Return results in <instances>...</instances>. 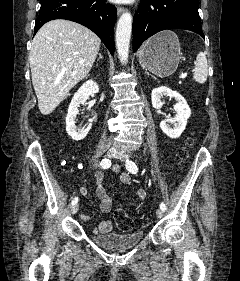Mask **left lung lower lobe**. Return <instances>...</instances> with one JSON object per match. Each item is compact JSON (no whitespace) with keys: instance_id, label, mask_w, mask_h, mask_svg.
Segmentation results:
<instances>
[{"instance_id":"0a47b994","label":"left lung lower lobe","mask_w":240,"mask_h":281,"mask_svg":"<svg viewBox=\"0 0 240 281\" xmlns=\"http://www.w3.org/2000/svg\"><path fill=\"white\" fill-rule=\"evenodd\" d=\"M132 29L133 52L147 38L166 29H186L204 38L198 0H141Z\"/></svg>"}]
</instances>
